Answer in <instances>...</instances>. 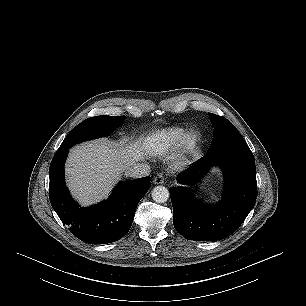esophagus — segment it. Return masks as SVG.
Segmentation results:
<instances>
[{"label": "esophagus", "mask_w": 306, "mask_h": 306, "mask_svg": "<svg viewBox=\"0 0 306 306\" xmlns=\"http://www.w3.org/2000/svg\"><path fill=\"white\" fill-rule=\"evenodd\" d=\"M165 181V177L163 173H158L155 177H154V184H163Z\"/></svg>", "instance_id": "1"}]
</instances>
